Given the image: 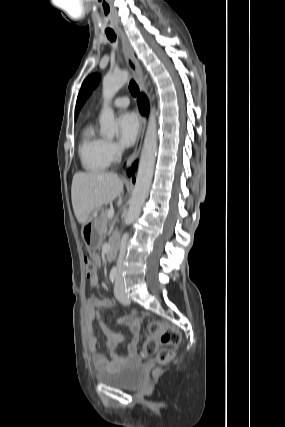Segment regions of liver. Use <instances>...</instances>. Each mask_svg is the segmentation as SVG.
Here are the masks:
<instances>
[{"label":"liver","instance_id":"liver-1","mask_svg":"<svg viewBox=\"0 0 285 427\" xmlns=\"http://www.w3.org/2000/svg\"><path fill=\"white\" fill-rule=\"evenodd\" d=\"M122 192L123 181L115 173H75L71 199L77 221L84 225L93 211L109 204Z\"/></svg>","mask_w":285,"mask_h":427}]
</instances>
